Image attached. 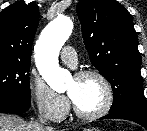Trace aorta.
I'll list each match as a JSON object with an SVG mask.
<instances>
[{"label": "aorta", "instance_id": "obj_1", "mask_svg": "<svg viewBox=\"0 0 147 131\" xmlns=\"http://www.w3.org/2000/svg\"><path fill=\"white\" fill-rule=\"evenodd\" d=\"M72 29V20L59 16L45 27L35 46L37 69L49 87L57 92L64 91L71 80L70 72L59 66L58 55Z\"/></svg>", "mask_w": 147, "mask_h": 131}]
</instances>
